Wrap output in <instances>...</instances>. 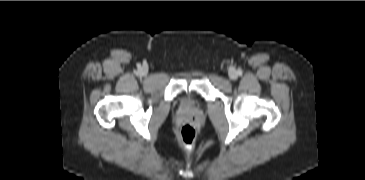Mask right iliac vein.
<instances>
[{
	"label": "right iliac vein",
	"instance_id": "63e3f726",
	"mask_svg": "<svg viewBox=\"0 0 365 180\" xmlns=\"http://www.w3.org/2000/svg\"><path fill=\"white\" fill-rule=\"evenodd\" d=\"M147 73H148V70H147V68H146V67H142V68L140 69V74H141V75H147Z\"/></svg>",
	"mask_w": 365,
	"mask_h": 180
}]
</instances>
